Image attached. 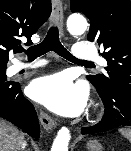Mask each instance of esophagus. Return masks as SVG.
Masks as SVG:
<instances>
[{"instance_id":"esophagus-1","label":"esophagus","mask_w":131,"mask_h":151,"mask_svg":"<svg viewBox=\"0 0 131 151\" xmlns=\"http://www.w3.org/2000/svg\"><path fill=\"white\" fill-rule=\"evenodd\" d=\"M52 23L63 34V6L61 0H52ZM39 120L46 131H52L56 126L55 121L42 110L39 112Z\"/></svg>"}]
</instances>
